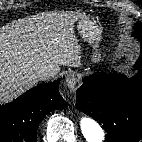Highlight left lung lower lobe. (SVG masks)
<instances>
[{
    "mask_svg": "<svg viewBox=\"0 0 142 142\" xmlns=\"http://www.w3.org/2000/svg\"><path fill=\"white\" fill-rule=\"evenodd\" d=\"M134 77L95 74L76 91V106L103 125L105 142H138L142 138V48ZM142 142V141H141Z\"/></svg>",
    "mask_w": 142,
    "mask_h": 142,
    "instance_id": "left-lung-lower-lobe-1",
    "label": "left lung lower lobe"
}]
</instances>
